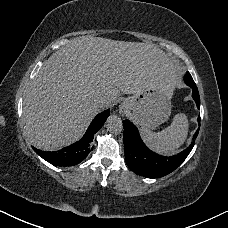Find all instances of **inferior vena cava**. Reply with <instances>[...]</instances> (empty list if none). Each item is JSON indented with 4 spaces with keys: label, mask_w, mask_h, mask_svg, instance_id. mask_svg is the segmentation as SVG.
<instances>
[{
    "label": "inferior vena cava",
    "mask_w": 228,
    "mask_h": 228,
    "mask_svg": "<svg viewBox=\"0 0 228 228\" xmlns=\"http://www.w3.org/2000/svg\"><path fill=\"white\" fill-rule=\"evenodd\" d=\"M108 104L109 102L105 98H100L95 102V105L99 108H104Z\"/></svg>",
    "instance_id": "inferior-vena-cava-1"
}]
</instances>
